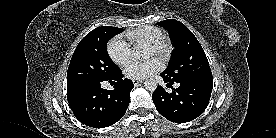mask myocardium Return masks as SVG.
Masks as SVG:
<instances>
[{
  "instance_id": "f54148a6",
  "label": "myocardium",
  "mask_w": 276,
  "mask_h": 138,
  "mask_svg": "<svg viewBox=\"0 0 276 138\" xmlns=\"http://www.w3.org/2000/svg\"><path fill=\"white\" fill-rule=\"evenodd\" d=\"M148 45L155 51L156 56H158L163 61L167 60L171 55L172 43L165 35L153 40L152 42L148 43Z\"/></svg>"
}]
</instances>
